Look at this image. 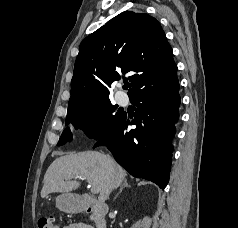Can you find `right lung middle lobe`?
I'll use <instances>...</instances> for the list:
<instances>
[{"mask_svg": "<svg viewBox=\"0 0 238 228\" xmlns=\"http://www.w3.org/2000/svg\"><path fill=\"white\" fill-rule=\"evenodd\" d=\"M122 115L116 112V106L109 100L84 107L68 106L66 124L72 123L76 129H83L90 138L99 139L113 128ZM71 138L70 129L66 128L57 145H63Z\"/></svg>", "mask_w": 238, "mask_h": 228, "instance_id": "1", "label": "right lung middle lobe"}]
</instances>
